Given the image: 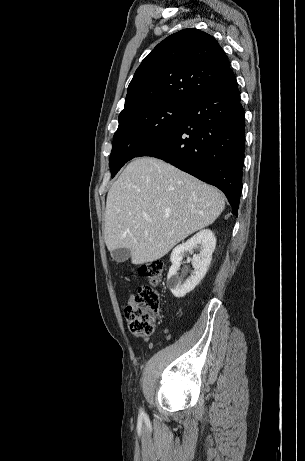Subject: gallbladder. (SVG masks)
I'll list each match as a JSON object with an SVG mask.
<instances>
[{
    "mask_svg": "<svg viewBox=\"0 0 305 461\" xmlns=\"http://www.w3.org/2000/svg\"><path fill=\"white\" fill-rule=\"evenodd\" d=\"M111 255L116 262H124L131 256V252L126 248H118L112 251Z\"/></svg>",
    "mask_w": 305,
    "mask_h": 461,
    "instance_id": "bac80fb5",
    "label": "gallbladder"
}]
</instances>
